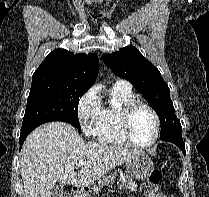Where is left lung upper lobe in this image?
<instances>
[{"instance_id": "1", "label": "left lung upper lobe", "mask_w": 209, "mask_h": 197, "mask_svg": "<svg viewBox=\"0 0 209 197\" xmlns=\"http://www.w3.org/2000/svg\"><path fill=\"white\" fill-rule=\"evenodd\" d=\"M102 59L114 73L130 81L157 112L161 122V140L182 136V127L170 99V89L151 62L132 46L105 54Z\"/></svg>"}]
</instances>
